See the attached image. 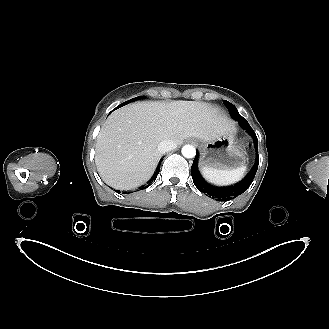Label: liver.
Returning <instances> with one entry per match:
<instances>
[{
    "instance_id": "1",
    "label": "liver",
    "mask_w": 329,
    "mask_h": 329,
    "mask_svg": "<svg viewBox=\"0 0 329 329\" xmlns=\"http://www.w3.org/2000/svg\"><path fill=\"white\" fill-rule=\"evenodd\" d=\"M235 130L218 108L197 101L140 102L114 111L102 126L95 162L105 183L130 190L153 175L162 153L158 144H180L195 137L205 142Z\"/></svg>"
}]
</instances>
